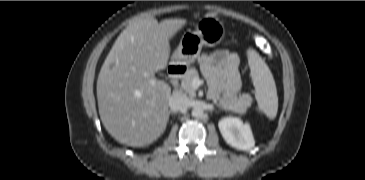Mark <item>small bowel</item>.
Returning <instances> with one entry per match:
<instances>
[{"label":"small bowel","instance_id":"1","mask_svg":"<svg viewBox=\"0 0 365 180\" xmlns=\"http://www.w3.org/2000/svg\"><path fill=\"white\" fill-rule=\"evenodd\" d=\"M199 62L204 75L210 84V94L213 97L220 93L234 95L240 91L241 79L238 71L240 57L227 50L203 54Z\"/></svg>","mask_w":365,"mask_h":180}]
</instances>
